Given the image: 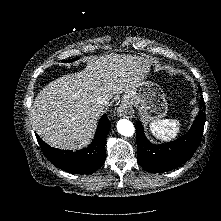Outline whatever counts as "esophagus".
Returning a JSON list of instances; mask_svg holds the SVG:
<instances>
[{
    "mask_svg": "<svg viewBox=\"0 0 221 221\" xmlns=\"http://www.w3.org/2000/svg\"><path fill=\"white\" fill-rule=\"evenodd\" d=\"M117 114L122 118H132L134 116V110L128 102L122 101L117 109Z\"/></svg>",
    "mask_w": 221,
    "mask_h": 221,
    "instance_id": "esophagus-1",
    "label": "esophagus"
}]
</instances>
